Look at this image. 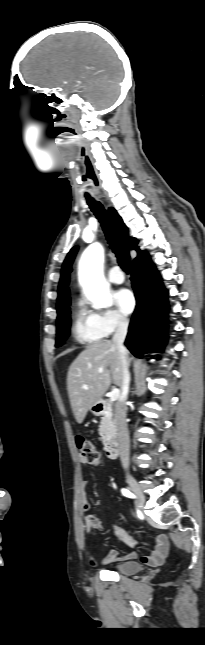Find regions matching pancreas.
Listing matches in <instances>:
<instances>
[{"instance_id": "obj_1", "label": "pancreas", "mask_w": 205, "mask_h": 645, "mask_svg": "<svg viewBox=\"0 0 205 645\" xmlns=\"http://www.w3.org/2000/svg\"><path fill=\"white\" fill-rule=\"evenodd\" d=\"M112 406L113 404L111 402L107 403L106 411L103 414L100 422L99 435L101 436V441L103 444H107L116 435Z\"/></svg>"}]
</instances>
